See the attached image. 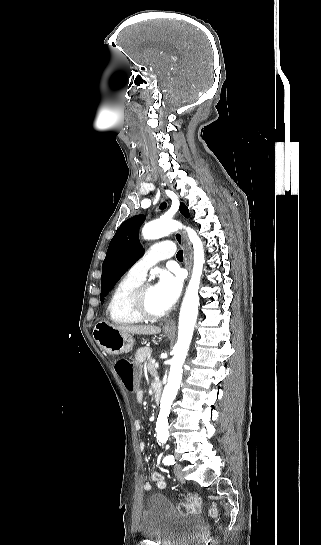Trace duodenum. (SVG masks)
Masks as SVG:
<instances>
[{
    "instance_id": "obj_1",
    "label": "duodenum",
    "mask_w": 321,
    "mask_h": 545,
    "mask_svg": "<svg viewBox=\"0 0 321 545\" xmlns=\"http://www.w3.org/2000/svg\"><path fill=\"white\" fill-rule=\"evenodd\" d=\"M153 393L156 401L159 402L162 396V386L159 382L153 384Z\"/></svg>"
}]
</instances>
